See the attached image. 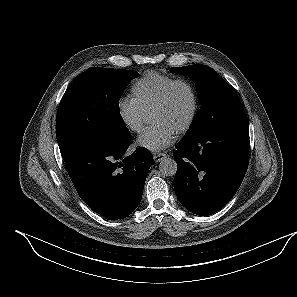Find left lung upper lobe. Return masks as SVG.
<instances>
[{"instance_id": "5c2ea615", "label": "left lung upper lobe", "mask_w": 297, "mask_h": 297, "mask_svg": "<svg viewBox=\"0 0 297 297\" xmlns=\"http://www.w3.org/2000/svg\"><path fill=\"white\" fill-rule=\"evenodd\" d=\"M173 73L189 76L196 84L200 108L184 137L245 114L235 90L211 67L194 64L172 67Z\"/></svg>"}]
</instances>
